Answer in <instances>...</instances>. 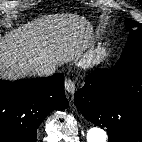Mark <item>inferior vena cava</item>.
<instances>
[{
  "mask_svg": "<svg viewBox=\"0 0 142 142\" xmlns=\"http://www.w3.org/2000/svg\"><path fill=\"white\" fill-rule=\"evenodd\" d=\"M55 71L56 65L51 62L38 65L33 70L34 74L38 76H50L54 74Z\"/></svg>",
  "mask_w": 142,
  "mask_h": 142,
  "instance_id": "602c4592",
  "label": "inferior vena cava"
}]
</instances>
